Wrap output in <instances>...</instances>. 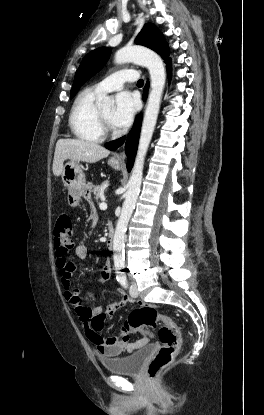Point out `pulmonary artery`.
Wrapping results in <instances>:
<instances>
[{
  "mask_svg": "<svg viewBox=\"0 0 264 415\" xmlns=\"http://www.w3.org/2000/svg\"><path fill=\"white\" fill-rule=\"evenodd\" d=\"M137 79V73L133 71H117L104 80L98 82L92 87L98 94L112 92L123 88L126 82H134Z\"/></svg>",
  "mask_w": 264,
  "mask_h": 415,
  "instance_id": "1",
  "label": "pulmonary artery"
}]
</instances>
